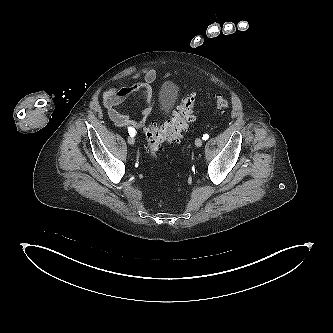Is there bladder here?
<instances>
[{"mask_svg": "<svg viewBox=\"0 0 333 333\" xmlns=\"http://www.w3.org/2000/svg\"><path fill=\"white\" fill-rule=\"evenodd\" d=\"M178 87L172 82H165L159 91V107L162 111L168 110L176 101Z\"/></svg>", "mask_w": 333, "mask_h": 333, "instance_id": "31cf9c89", "label": "bladder"}]
</instances>
